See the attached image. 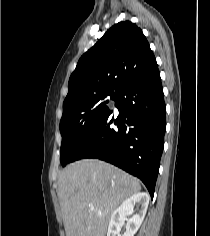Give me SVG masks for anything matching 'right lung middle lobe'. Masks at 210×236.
Returning a JSON list of instances; mask_svg holds the SVG:
<instances>
[{
	"label": "right lung middle lobe",
	"mask_w": 210,
	"mask_h": 236,
	"mask_svg": "<svg viewBox=\"0 0 210 236\" xmlns=\"http://www.w3.org/2000/svg\"><path fill=\"white\" fill-rule=\"evenodd\" d=\"M107 96L115 100L116 93H105L91 97L63 113L60 121L62 135L60 161L62 166L71 161L88 135L110 111L107 106L109 103V100L106 99Z\"/></svg>",
	"instance_id": "1"
}]
</instances>
